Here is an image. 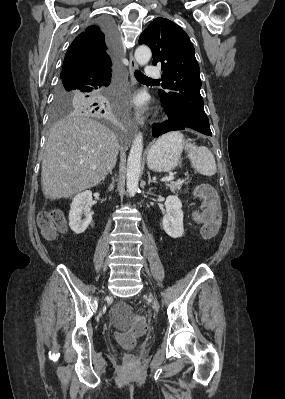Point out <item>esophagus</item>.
<instances>
[{
	"mask_svg": "<svg viewBox=\"0 0 285 399\" xmlns=\"http://www.w3.org/2000/svg\"><path fill=\"white\" fill-rule=\"evenodd\" d=\"M137 69V62L134 59V55L133 52L131 51L129 54V72H130V77H131V81L133 84H135V77H134V73ZM135 122H137L140 126H142L144 124V119L143 116L141 114V112H136L134 115V118L132 120V125L134 126Z\"/></svg>",
	"mask_w": 285,
	"mask_h": 399,
	"instance_id": "34e87169",
	"label": "esophagus"
}]
</instances>
